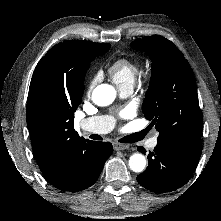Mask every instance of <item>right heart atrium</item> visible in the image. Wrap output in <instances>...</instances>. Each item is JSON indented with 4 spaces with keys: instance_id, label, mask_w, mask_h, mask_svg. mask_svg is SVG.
Segmentation results:
<instances>
[{
    "instance_id": "1",
    "label": "right heart atrium",
    "mask_w": 221,
    "mask_h": 221,
    "mask_svg": "<svg viewBox=\"0 0 221 221\" xmlns=\"http://www.w3.org/2000/svg\"><path fill=\"white\" fill-rule=\"evenodd\" d=\"M95 81H96V78L94 77L90 83V88L94 85Z\"/></svg>"
}]
</instances>
